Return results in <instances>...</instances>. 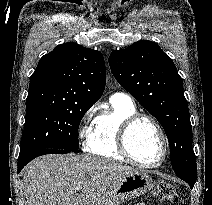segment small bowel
I'll use <instances>...</instances> for the list:
<instances>
[{
	"label": "small bowel",
	"mask_w": 212,
	"mask_h": 205,
	"mask_svg": "<svg viewBox=\"0 0 212 205\" xmlns=\"http://www.w3.org/2000/svg\"><path fill=\"white\" fill-rule=\"evenodd\" d=\"M136 205H145V204H143V203H139V204H136Z\"/></svg>",
	"instance_id": "1"
}]
</instances>
